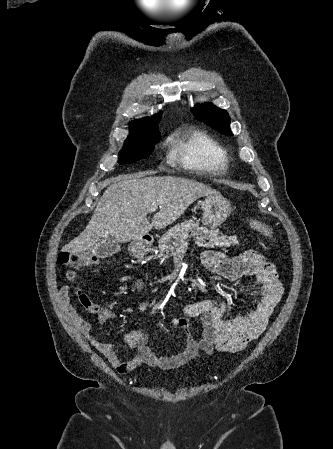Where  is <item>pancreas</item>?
<instances>
[{
    "instance_id": "obj_1",
    "label": "pancreas",
    "mask_w": 333,
    "mask_h": 449,
    "mask_svg": "<svg viewBox=\"0 0 333 449\" xmlns=\"http://www.w3.org/2000/svg\"><path fill=\"white\" fill-rule=\"evenodd\" d=\"M195 238L198 246L205 247H230L231 245H238L237 236L220 235L218 230H209L206 227H200L198 222L192 220L177 224L169 230L159 240L160 252L169 255L181 244H185L186 240Z\"/></svg>"
}]
</instances>
